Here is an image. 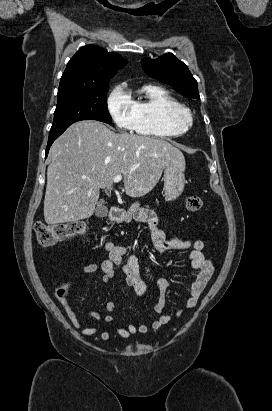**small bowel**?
I'll return each mask as SVG.
<instances>
[{
  "instance_id": "1",
  "label": "small bowel",
  "mask_w": 272,
  "mask_h": 411,
  "mask_svg": "<svg viewBox=\"0 0 272 411\" xmlns=\"http://www.w3.org/2000/svg\"><path fill=\"white\" fill-rule=\"evenodd\" d=\"M137 218L148 224L153 248L160 254H166L171 250H189L187 261L192 270L195 272V279L191 284L189 298L185 307L194 309L199 299L213 274V264L207 259L203 253L205 248L204 242L201 240H182V239H166L164 232L157 226V218L147 210H142L137 214ZM104 250L108 254V258L102 262L100 266L90 264L82 267L76 275V278L82 275L93 274L97 271L102 272V282L109 283L114 279L120 270L126 285L132 288L138 296H143L148 292V282L142 276L139 268V262L135 255L129 254L126 246L116 245L112 241H106L103 245ZM157 287L160 292L159 300L154 305L153 310L158 314V318L149 326L146 323L139 325L129 324L125 327L116 328L115 332L122 339H129L135 334H146L150 329L157 331L163 326L170 323L175 317L182 313V309H178L174 315L163 314L165 308V294L169 288V284L164 279L157 281ZM69 319L76 328L81 329V333L86 336H92L97 333L96 327H82L78 317L67 299H60ZM115 303L109 301L105 305L106 313L102 314L97 311H89L88 317L110 323L113 321L111 313L115 310ZM100 337L103 341H107L111 337V333L107 330L102 331Z\"/></svg>"
}]
</instances>
